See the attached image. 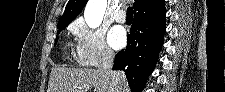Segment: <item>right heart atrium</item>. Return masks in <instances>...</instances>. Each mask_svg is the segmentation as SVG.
<instances>
[{
    "label": "right heart atrium",
    "instance_id": "obj_1",
    "mask_svg": "<svg viewBox=\"0 0 225 92\" xmlns=\"http://www.w3.org/2000/svg\"><path fill=\"white\" fill-rule=\"evenodd\" d=\"M71 33L75 40L74 57L80 65L97 66L112 57L102 27H91L84 19H78L71 25Z\"/></svg>",
    "mask_w": 225,
    "mask_h": 92
}]
</instances>
